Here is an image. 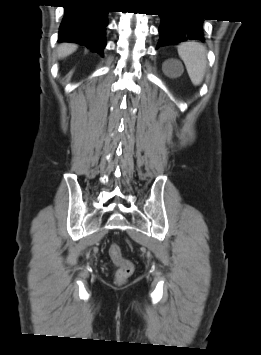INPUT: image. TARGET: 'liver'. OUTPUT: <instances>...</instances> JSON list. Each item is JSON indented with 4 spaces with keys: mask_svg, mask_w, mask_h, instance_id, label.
<instances>
[{
    "mask_svg": "<svg viewBox=\"0 0 261 355\" xmlns=\"http://www.w3.org/2000/svg\"><path fill=\"white\" fill-rule=\"evenodd\" d=\"M77 45L70 43H63L58 46V57L64 58L72 54L77 49Z\"/></svg>",
    "mask_w": 261,
    "mask_h": 355,
    "instance_id": "liver-1",
    "label": "liver"
}]
</instances>
